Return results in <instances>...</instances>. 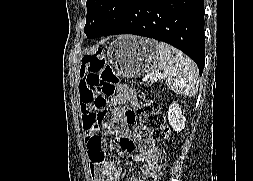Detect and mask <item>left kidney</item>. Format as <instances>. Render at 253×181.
Returning <instances> with one entry per match:
<instances>
[{"label": "left kidney", "mask_w": 253, "mask_h": 181, "mask_svg": "<svg viewBox=\"0 0 253 181\" xmlns=\"http://www.w3.org/2000/svg\"><path fill=\"white\" fill-rule=\"evenodd\" d=\"M168 121L171 127L176 131L180 132L185 127L186 119L182 114L181 107L178 103L173 102L170 104L168 109Z\"/></svg>", "instance_id": "1"}]
</instances>
